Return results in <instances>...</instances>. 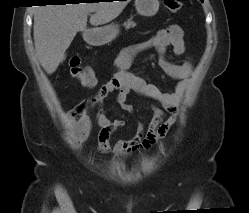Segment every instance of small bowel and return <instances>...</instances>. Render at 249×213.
<instances>
[{
	"label": "small bowel",
	"instance_id": "small-bowel-1",
	"mask_svg": "<svg viewBox=\"0 0 249 213\" xmlns=\"http://www.w3.org/2000/svg\"><path fill=\"white\" fill-rule=\"evenodd\" d=\"M168 47H172L175 55H182L185 52L183 30L180 26L169 25L159 30L149 40L132 45L120 54L111 78L98 89L94 96L75 106L69 112V117L75 125V136L78 141H84L90 133L91 121L88 113L93 107H98L97 123L100 126L98 150L102 153L112 151L117 158H124L136 150L151 148L160 139L167 136L171 126L177 121L181 100L193 74L192 62L175 64L166 58ZM149 48L156 49L160 69L170 78L178 80L173 92H164L155 84L127 73L126 69L133 59L140 52ZM113 91L118 92L116 104L127 112L133 111L132 106L127 103L130 92L158 102L161 108L152 107L153 116L146 128L139 123L132 138L120 139L111 147L109 143L111 135L125 125L123 119L110 120L103 106L104 100Z\"/></svg>",
	"mask_w": 249,
	"mask_h": 213
}]
</instances>
